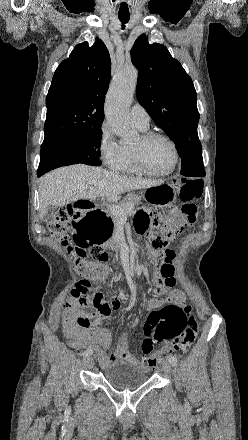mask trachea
<instances>
[{"mask_svg":"<svg viewBox=\"0 0 248 440\" xmlns=\"http://www.w3.org/2000/svg\"><path fill=\"white\" fill-rule=\"evenodd\" d=\"M119 20L121 21V23L123 24L122 26L124 27V24H126L129 19H130V15H118Z\"/></svg>","mask_w":248,"mask_h":440,"instance_id":"1","label":"trachea"}]
</instances>
